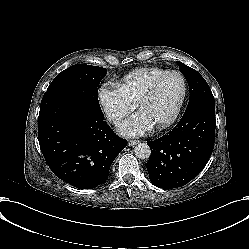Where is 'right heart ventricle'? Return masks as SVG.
Masks as SVG:
<instances>
[{"mask_svg":"<svg viewBox=\"0 0 249 249\" xmlns=\"http://www.w3.org/2000/svg\"><path fill=\"white\" fill-rule=\"evenodd\" d=\"M166 73L157 68L136 70L125 78L124 83L118 88L119 93L126 98L129 103L138 105L147 92H149Z\"/></svg>","mask_w":249,"mask_h":249,"instance_id":"e07e8e85","label":"right heart ventricle"}]
</instances>
